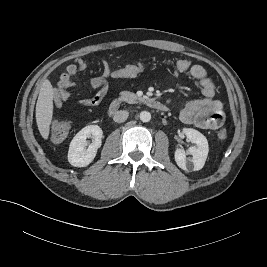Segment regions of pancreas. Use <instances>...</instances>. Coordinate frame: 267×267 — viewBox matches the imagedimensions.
<instances>
[{
    "instance_id": "1",
    "label": "pancreas",
    "mask_w": 267,
    "mask_h": 267,
    "mask_svg": "<svg viewBox=\"0 0 267 267\" xmlns=\"http://www.w3.org/2000/svg\"><path fill=\"white\" fill-rule=\"evenodd\" d=\"M138 99L137 95L130 91H123L120 93L119 100L128 103H134Z\"/></svg>"
}]
</instances>
